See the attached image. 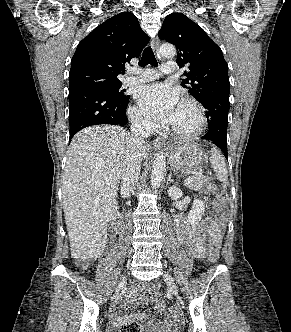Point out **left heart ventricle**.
Listing matches in <instances>:
<instances>
[{"label": "left heart ventricle", "instance_id": "left-heart-ventricle-1", "mask_svg": "<svg viewBox=\"0 0 291 332\" xmlns=\"http://www.w3.org/2000/svg\"><path fill=\"white\" fill-rule=\"evenodd\" d=\"M171 126L182 131L194 129L197 126V116L194 109L190 105L179 103Z\"/></svg>", "mask_w": 291, "mask_h": 332}]
</instances>
